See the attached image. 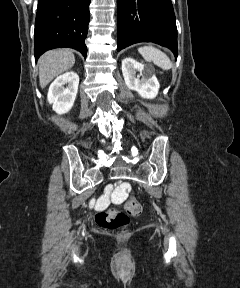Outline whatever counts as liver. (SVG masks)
<instances>
[{"instance_id": "6515ba94", "label": "liver", "mask_w": 240, "mask_h": 288, "mask_svg": "<svg viewBox=\"0 0 240 288\" xmlns=\"http://www.w3.org/2000/svg\"><path fill=\"white\" fill-rule=\"evenodd\" d=\"M75 56L68 49H55L44 53L39 59V83L45 88L55 77L71 69Z\"/></svg>"}]
</instances>
